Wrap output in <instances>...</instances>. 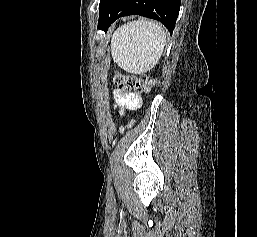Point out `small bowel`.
<instances>
[{"label": "small bowel", "instance_id": "1", "mask_svg": "<svg viewBox=\"0 0 257 237\" xmlns=\"http://www.w3.org/2000/svg\"><path fill=\"white\" fill-rule=\"evenodd\" d=\"M115 101L127 109H135L140 105L141 97L133 93H124L120 90L114 92Z\"/></svg>", "mask_w": 257, "mask_h": 237}]
</instances>
